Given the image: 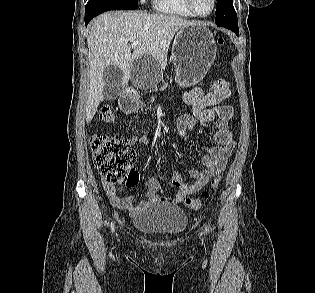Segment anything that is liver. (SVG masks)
Masks as SVG:
<instances>
[{
  "label": "liver",
  "mask_w": 315,
  "mask_h": 293,
  "mask_svg": "<svg viewBox=\"0 0 315 293\" xmlns=\"http://www.w3.org/2000/svg\"><path fill=\"white\" fill-rule=\"evenodd\" d=\"M199 24L181 17L150 14L142 11L107 12L89 26V91L86 100V122L93 119L103 96V72L110 65L119 67L125 76L122 85L131 78V65L142 55H149L162 66L175 33L187 26ZM134 41L138 45L131 53Z\"/></svg>",
  "instance_id": "liver-1"
}]
</instances>
